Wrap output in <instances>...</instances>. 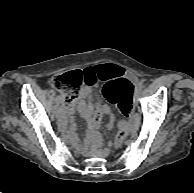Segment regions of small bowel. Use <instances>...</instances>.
I'll return each instance as SVG.
<instances>
[{"instance_id": "small-bowel-1", "label": "small bowel", "mask_w": 194, "mask_h": 193, "mask_svg": "<svg viewBox=\"0 0 194 193\" xmlns=\"http://www.w3.org/2000/svg\"><path fill=\"white\" fill-rule=\"evenodd\" d=\"M118 76H120V69L116 66L105 65L90 68L85 74V86L81 96L74 102L65 103L60 120L61 126L69 132L73 131L75 125L72 122V118L74 112L78 111L85 118L90 131L100 126L104 115L110 117L111 123L108 125V129H110L114 116L109 106H96L95 101L98 96L97 88L104 83L112 82ZM106 152V150H103L102 154H106Z\"/></svg>"}]
</instances>
